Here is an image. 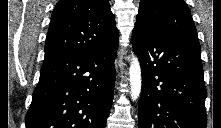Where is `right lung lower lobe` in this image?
Here are the masks:
<instances>
[{
    "label": "right lung lower lobe",
    "instance_id": "obj_1",
    "mask_svg": "<svg viewBox=\"0 0 221 128\" xmlns=\"http://www.w3.org/2000/svg\"><path fill=\"white\" fill-rule=\"evenodd\" d=\"M118 40L43 63L26 128H105L114 95Z\"/></svg>",
    "mask_w": 221,
    "mask_h": 128
}]
</instances>
